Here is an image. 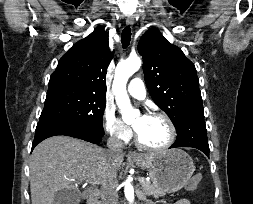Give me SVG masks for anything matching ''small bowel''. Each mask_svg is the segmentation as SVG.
<instances>
[{"label": "small bowel", "instance_id": "small-bowel-1", "mask_svg": "<svg viewBox=\"0 0 253 204\" xmlns=\"http://www.w3.org/2000/svg\"><path fill=\"white\" fill-rule=\"evenodd\" d=\"M175 204H191V203L187 199H181V200L177 201Z\"/></svg>", "mask_w": 253, "mask_h": 204}]
</instances>
